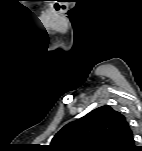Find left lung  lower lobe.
<instances>
[{"instance_id":"0a47b994","label":"left lung lower lobe","mask_w":142,"mask_h":151,"mask_svg":"<svg viewBox=\"0 0 142 151\" xmlns=\"http://www.w3.org/2000/svg\"><path fill=\"white\" fill-rule=\"evenodd\" d=\"M138 150L140 149L134 145V140H133L132 144L129 146V148L126 151H138Z\"/></svg>"}]
</instances>
